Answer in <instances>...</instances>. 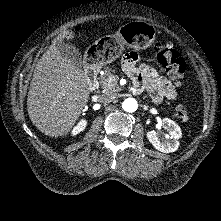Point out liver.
Wrapping results in <instances>:
<instances>
[{
	"label": "liver",
	"instance_id": "liver-1",
	"mask_svg": "<svg viewBox=\"0 0 221 221\" xmlns=\"http://www.w3.org/2000/svg\"><path fill=\"white\" fill-rule=\"evenodd\" d=\"M69 34L57 36L38 61L27 98L29 118L38 130L58 137L70 132L89 100L84 71L62 57L56 44Z\"/></svg>",
	"mask_w": 221,
	"mask_h": 221
}]
</instances>
